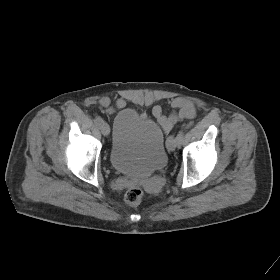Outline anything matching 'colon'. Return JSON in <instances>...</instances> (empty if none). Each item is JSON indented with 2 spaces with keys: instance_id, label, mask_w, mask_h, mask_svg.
<instances>
[{
  "instance_id": "obj_1",
  "label": "colon",
  "mask_w": 280,
  "mask_h": 280,
  "mask_svg": "<svg viewBox=\"0 0 280 280\" xmlns=\"http://www.w3.org/2000/svg\"><path fill=\"white\" fill-rule=\"evenodd\" d=\"M143 190L140 187H133L127 190L124 195L125 202L130 206L138 205L143 198Z\"/></svg>"
}]
</instances>
